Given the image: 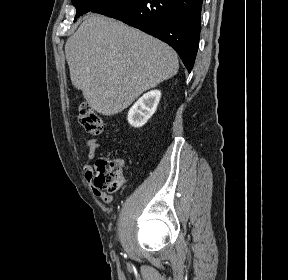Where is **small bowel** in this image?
Listing matches in <instances>:
<instances>
[{"label": "small bowel", "instance_id": "obj_1", "mask_svg": "<svg viewBox=\"0 0 288 280\" xmlns=\"http://www.w3.org/2000/svg\"><path fill=\"white\" fill-rule=\"evenodd\" d=\"M86 145L88 147V156L90 159L94 158L96 156L97 150L101 147V144L98 142L97 139H88L86 140ZM84 174L85 178L88 181L90 188L95 196L100 198L105 203H109L112 201V196L105 191H103L101 188H98L93 184L92 180L94 178V169L91 165L87 164L84 166Z\"/></svg>", "mask_w": 288, "mask_h": 280}]
</instances>
